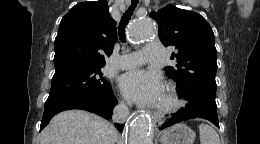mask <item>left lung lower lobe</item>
Listing matches in <instances>:
<instances>
[{
  "instance_id": "0a47b994",
  "label": "left lung lower lobe",
  "mask_w": 260,
  "mask_h": 144,
  "mask_svg": "<svg viewBox=\"0 0 260 144\" xmlns=\"http://www.w3.org/2000/svg\"><path fill=\"white\" fill-rule=\"evenodd\" d=\"M194 118H202L209 120L215 126L219 127L217 106L210 104H202L193 109H181L178 114H176L173 118L164 123L161 128L164 129L174 124Z\"/></svg>"
}]
</instances>
